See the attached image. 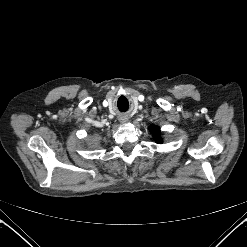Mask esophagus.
Listing matches in <instances>:
<instances>
[{
  "mask_svg": "<svg viewBox=\"0 0 247 247\" xmlns=\"http://www.w3.org/2000/svg\"><path fill=\"white\" fill-rule=\"evenodd\" d=\"M119 120L121 123H125L127 122L128 118L126 116H122Z\"/></svg>",
  "mask_w": 247,
  "mask_h": 247,
  "instance_id": "obj_1",
  "label": "esophagus"
}]
</instances>
